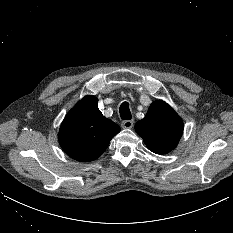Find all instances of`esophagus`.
Here are the masks:
<instances>
[{
	"mask_svg": "<svg viewBox=\"0 0 233 233\" xmlns=\"http://www.w3.org/2000/svg\"><path fill=\"white\" fill-rule=\"evenodd\" d=\"M133 123H134L133 120H124L122 121L121 126L124 129H130L133 127Z\"/></svg>",
	"mask_w": 233,
	"mask_h": 233,
	"instance_id": "obj_1",
	"label": "esophagus"
}]
</instances>
